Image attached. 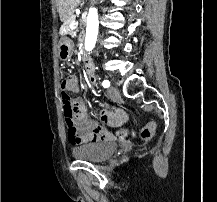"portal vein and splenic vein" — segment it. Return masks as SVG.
<instances>
[{
	"label": "portal vein and splenic vein",
	"mask_w": 217,
	"mask_h": 202,
	"mask_svg": "<svg viewBox=\"0 0 217 202\" xmlns=\"http://www.w3.org/2000/svg\"><path fill=\"white\" fill-rule=\"evenodd\" d=\"M76 14H80V12H76ZM74 26H78V22H75V20L70 24V28H74Z\"/></svg>",
	"instance_id": "18ae733b"
}]
</instances>
